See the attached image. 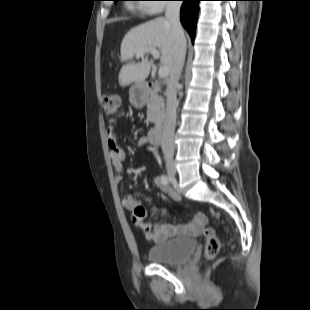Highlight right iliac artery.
<instances>
[{"mask_svg":"<svg viewBox=\"0 0 310 310\" xmlns=\"http://www.w3.org/2000/svg\"><path fill=\"white\" fill-rule=\"evenodd\" d=\"M161 181H162L164 184H168V182H169V177L166 176V175H162V176H161Z\"/></svg>","mask_w":310,"mask_h":310,"instance_id":"1","label":"right iliac artery"}]
</instances>
